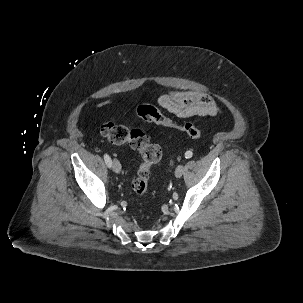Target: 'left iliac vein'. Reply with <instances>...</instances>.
<instances>
[{
    "instance_id": "left-iliac-vein-1",
    "label": "left iliac vein",
    "mask_w": 303,
    "mask_h": 303,
    "mask_svg": "<svg viewBox=\"0 0 303 303\" xmlns=\"http://www.w3.org/2000/svg\"><path fill=\"white\" fill-rule=\"evenodd\" d=\"M184 171H185L184 166L183 165H178L176 170H175V176L177 178H180L183 175Z\"/></svg>"
}]
</instances>
